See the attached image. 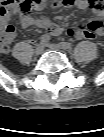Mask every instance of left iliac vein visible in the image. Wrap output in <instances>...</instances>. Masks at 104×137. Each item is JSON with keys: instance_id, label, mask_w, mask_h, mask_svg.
I'll use <instances>...</instances> for the list:
<instances>
[{"instance_id": "1", "label": "left iliac vein", "mask_w": 104, "mask_h": 137, "mask_svg": "<svg viewBox=\"0 0 104 137\" xmlns=\"http://www.w3.org/2000/svg\"><path fill=\"white\" fill-rule=\"evenodd\" d=\"M50 48L56 51H60L64 48V46L63 45H51Z\"/></svg>"}]
</instances>
